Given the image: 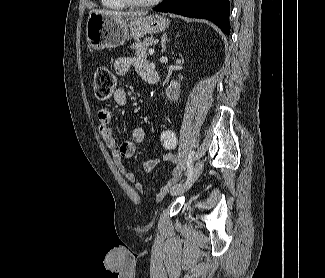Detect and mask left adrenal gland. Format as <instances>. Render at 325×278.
<instances>
[{"label":"left adrenal gland","mask_w":325,"mask_h":278,"mask_svg":"<svg viewBox=\"0 0 325 278\" xmlns=\"http://www.w3.org/2000/svg\"><path fill=\"white\" fill-rule=\"evenodd\" d=\"M166 41H168V39H167V34L165 33L161 39L162 53L166 51Z\"/></svg>","instance_id":"obj_1"}]
</instances>
